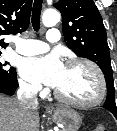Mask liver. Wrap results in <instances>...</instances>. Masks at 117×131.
<instances>
[{"label":"liver","instance_id":"liver-1","mask_svg":"<svg viewBox=\"0 0 117 131\" xmlns=\"http://www.w3.org/2000/svg\"><path fill=\"white\" fill-rule=\"evenodd\" d=\"M37 107L23 105L16 98L0 95V131H37Z\"/></svg>","mask_w":117,"mask_h":131}]
</instances>
